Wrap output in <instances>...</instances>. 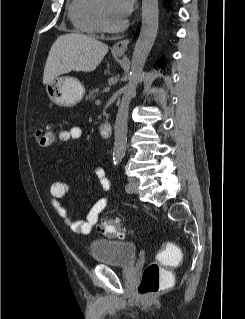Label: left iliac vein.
Returning a JSON list of instances; mask_svg holds the SVG:
<instances>
[{"label": "left iliac vein", "instance_id": "obj_1", "mask_svg": "<svg viewBox=\"0 0 245 319\" xmlns=\"http://www.w3.org/2000/svg\"><path fill=\"white\" fill-rule=\"evenodd\" d=\"M129 186L130 189L128 192L130 193H136L138 191V181L136 178H129Z\"/></svg>", "mask_w": 245, "mask_h": 319}]
</instances>
